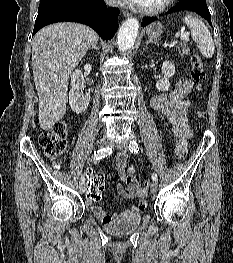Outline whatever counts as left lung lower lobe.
Returning <instances> with one entry per match:
<instances>
[{
	"label": "left lung lower lobe",
	"mask_w": 233,
	"mask_h": 263,
	"mask_svg": "<svg viewBox=\"0 0 233 263\" xmlns=\"http://www.w3.org/2000/svg\"><path fill=\"white\" fill-rule=\"evenodd\" d=\"M183 10H189V11H193V12L200 14L212 26L211 15L207 7L206 1L201 2V1H196V0H180L176 6L172 7L168 11V13L183 11ZM156 19H157L156 17H145L143 19V23L141 24V26L144 27Z\"/></svg>",
	"instance_id": "0a47b994"
}]
</instances>
